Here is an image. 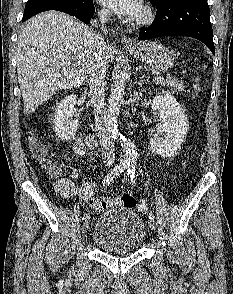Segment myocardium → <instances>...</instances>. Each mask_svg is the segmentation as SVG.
Returning <instances> with one entry per match:
<instances>
[{"instance_id":"myocardium-1","label":"myocardium","mask_w":233,"mask_h":294,"mask_svg":"<svg viewBox=\"0 0 233 294\" xmlns=\"http://www.w3.org/2000/svg\"><path fill=\"white\" fill-rule=\"evenodd\" d=\"M153 18L152 9L149 6H145L141 13L134 19L136 25H143L150 22Z\"/></svg>"}]
</instances>
